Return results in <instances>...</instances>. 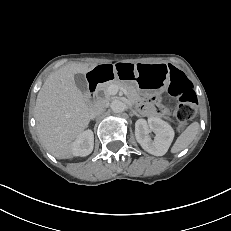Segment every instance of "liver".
Listing matches in <instances>:
<instances>
[{
  "mask_svg": "<svg viewBox=\"0 0 231 231\" xmlns=\"http://www.w3.org/2000/svg\"><path fill=\"white\" fill-rule=\"evenodd\" d=\"M96 65L71 63L52 72L40 89L35 106L37 133L43 146L58 159L73 156L75 139L87 128L91 108L77 88L75 74Z\"/></svg>",
  "mask_w": 231,
  "mask_h": 231,
  "instance_id": "liver-1",
  "label": "liver"
}]
</instances>
